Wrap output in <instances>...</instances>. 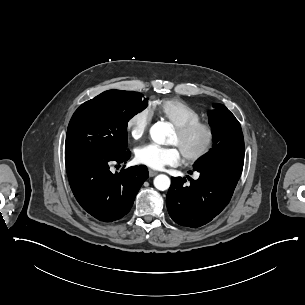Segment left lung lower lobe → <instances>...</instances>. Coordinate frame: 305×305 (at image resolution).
I'll list each match as a JSON object with an SVG mask.
<instances>
[{
    "mask_svg": "<svg viewBox=\"0 0 305 305\" xmlns=\"http://www.w3.org/2000/svg\"><path fill=\"white\" fill-rule=\"evenodd\" d=\"M243 164L208 163L196 165L198 180L171 178L166 204L171 218L181 226L197 228L210 222L229 203L241 176ZM192 174L191 171H189Z\"/></svg>",
    "mask_w": 305,
    "mask_h": 305,
    "instance_id": "0a47b994",
    "label": "left lung lower lobe"
}]
</instances>
